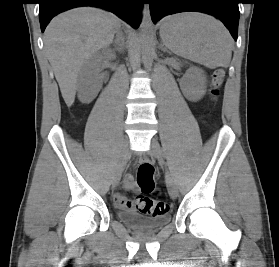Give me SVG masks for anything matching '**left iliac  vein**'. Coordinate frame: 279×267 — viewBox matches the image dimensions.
I'll use <instances>...</instances> for the list:
<instances>
[{
	"mask_svg": "<svg viewBox=\"0 0 279 267\" xmlns=\"http://www.w3.org/2000/svg\"><path fill=\"white\" fill-rule=\"evenodd\" d=\"M150 154L156 159H158L160 162L163 161L161 146L158 143V141L154 138L151 140ZM166 183H167L169 195L171 196L172 199H175L178 195V189L173 178L169 173H167L166 175Z\"/></svg>",
	"mask_w": 279,
	"mask_h": 267,
	"instance_id": "4c4485c4",
	"label": "left iliac vein"
}]
</instances>
